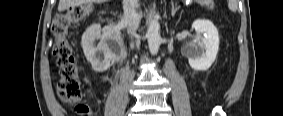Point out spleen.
<instances>
[{"mask_svg":"<svg viewBox=\"0 0 283 116\" xmlns=\"http://www.w3.org/2000/svg\"><path fill=\"white\" fill-rule=\"evenodd\" d=\"M228 7L231 11L235 12L237 10V1L236 0H229L228 1Z\"/></svg>","mask_w":283,"mask_h":116,"instance_id":"spleen-1","label":"spleen"}]
</instances>
